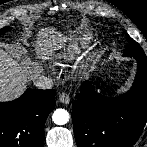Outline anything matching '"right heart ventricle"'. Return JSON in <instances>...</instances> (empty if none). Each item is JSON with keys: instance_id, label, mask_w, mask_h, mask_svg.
<instances>
[{"instance_id": "obj_1", "label": "right heart ventricle", "mask_w": 147, "mask_h": 147, "mask_svg": "<svg viewBox=\"0 0 147 147\" xmlns=\"http://www.w3.org/2000/svg\"><path fill=\"white\" fill-rule=\"evenodd\" d=\"M93 36L90 33H81L67 44L59 53V59L70 62L84 53L92 44Z\"/></svg>"}]
</instances>
